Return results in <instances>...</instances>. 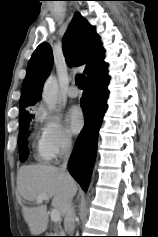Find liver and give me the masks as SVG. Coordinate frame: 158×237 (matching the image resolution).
<instances>
[{"label": "liver", "mask_w": 158, "mask_h": 237, "mask_svg": "<svg viewBox=\"0 0 158 237\" xmlns=\"http://www.w3.org/2000/svg\"><path fill=\"white\" fill-rule=\"evenodd\" d=\"M77 192L75 180L60 168L51 165H23L17 174V195L22 206L25 222L31 234H42L48 226L47 206L37 202V196L47 194L52 198V206L65 216L72 198ZM24 200L37 202V206L27 207Z\"/></svg>", "instance_id": "liver-1"}]
</instances>
